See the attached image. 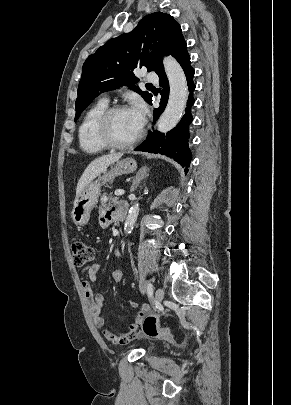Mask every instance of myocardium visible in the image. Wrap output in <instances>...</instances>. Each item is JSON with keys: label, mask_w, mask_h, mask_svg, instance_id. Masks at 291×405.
Here are the masks:
<instances>
[{"label": "myocardium", "mask_w": 291, "mask_h": 405, "mask_svg": "<svg viewBox=\"0 0 291 405\" xmlns=\"http://www.w3.org/2000/svg\"><path fill=\"white\" fill-rule=\"evenodd\" d=\"M129 109L126 105L116 104L107 107L105 111L99 117L97 122V136L100 141L108 148L112 149H129L135 146L142 138L143 132L140 129L139 133L128 142H118L116 141L111 132V122L115 114L120 111Z\"/></svg>", "instance_id": "f54148a6"}]
</instances>
